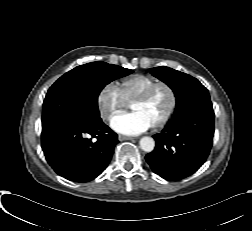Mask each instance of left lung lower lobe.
Wrapping results in <instances>:
<instances>
[{
  "instance_id": "1",
  "label": "left lung lower lobe",
  "mask_w": 252,
  "mask_h": 231,
  "mask_svg": "<svg viewBox=\"0 0 252 231\" xmlns=\"http://www.w3.org/2000/svg\"><path fill=\"white\" fill-rule=\"evenodd\" d=\"M214 134L211 106H193L173 116L160 133L154 135L155 149L146 155L152 170L168 181L196 172L209 155Z\"/></svg>"
}]
</instances>
